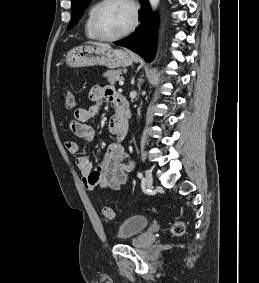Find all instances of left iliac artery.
<instances>
[{"label": "left iliac artery", "mask_w": 259, "mask_h": 283, "mask_svg": "<svg viewBox=\"0 0 259 283\" xmlns=\"http://www.w3.org/2000/svg\"><path fill=\"white\" fill-rule=\"evenodd\" d=\"M137 176H138L139 178H142V177H143V174H142L141 172H138Z\"/></svg>", "instance_id": "44dca946"}]
</instances>
